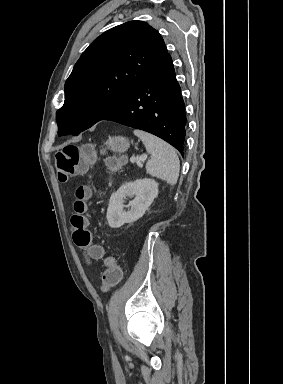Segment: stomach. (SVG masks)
Masks as SVG:
<instances>
[{
  "label": "stomach",
  "instance_id": "obj_1",
  "mask_svg": "<svg viewBox=\"0 0 283 384\" xmlns=\"http://www.w3.org/2000/svg\"><path fill=\"white\" fill-rule=\"evenodd\" d=\"M107 146L112 152H120L122 154V152L128 150L129 142L126 138H122V136H114V138L107 140Z\"/></svg>",
  "mask_w": 283,
  "mask_h": 384
}]
</instances>
